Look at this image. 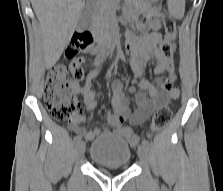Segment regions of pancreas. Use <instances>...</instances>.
<instances>
[{
  "label": "pancreas",
  "instance_id": "obj_1",
  "mask_svg": "<svg viewBox=\"0 0 223 191\" xmlns=\"http://www.w3.org/2000/svg\"><path fill=\"white\" fill-rule=\"evenodd\" d=\"M119 0H97L91 10V23L97 32L107 31Z\"/></svg>",
  "mask_w": 223,
  "mask_h": 191
}]
</instances>
